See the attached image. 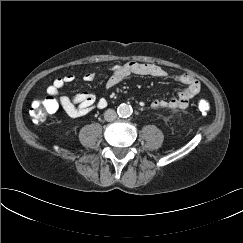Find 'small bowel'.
Returning a JSON list of instances; mask_svg holds the SVG:
<instances>
[{"label": "small bowel", "mask_w": 243, "mask_h": 243, "mask_svg": "<svg viewBox=\"0 0 243 243\" xmlns=\"http://www.w3.org/2000/svg\"><path fill=\"white\" fill-rule=\"evenodd\" d=\"M111 75L106 80V88L111 89L121 83L130 75L152 76L164 78L168 75L167 71L156 64L126 62L123 64H115L111 68ZM94 72H87L83 79L91 82L95 79ZM176 79L185 85L179 91L177 97L171 99L155 98L151 100L150 105L153 108L166 109H185L188 107L190 100L200 91L199 81L189 73H183ZM75 81V76L72 74L56 78L47 88V93L54 97L60 107L66 114L72 118H79L87 115L93 109H104L108 105V100L105 97L96 98L91 93L84 92L76 94L72 97L59 96V91L66 85Z\"/></svg>", "instance_id": "small-bowel-1"}]
</instances>
